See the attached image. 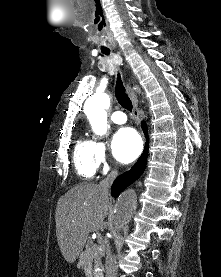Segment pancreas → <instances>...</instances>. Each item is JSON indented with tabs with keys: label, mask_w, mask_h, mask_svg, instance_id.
Here are the masks:
<instances>
[{
	"label": "pancreas",
	"mask_w": 221,
	"mask_h": 277,
	"mask_svg": "<svg viewBox=\"0 0 221 277\" xmlns=\"http://www.w3.org/2000/svg\"><path fill=\"white\" fill-rule=\"evenodd\" d=\"M104 244L94 245L87 248L79 258L78 267L85 272L92 273L94 270H99L94 277H103L101 272L103 266L101 257L103 255ZM92 277V276H91Z\"/></svg>",
	"instance_id": "cf45deb5"
}]
</instances>
